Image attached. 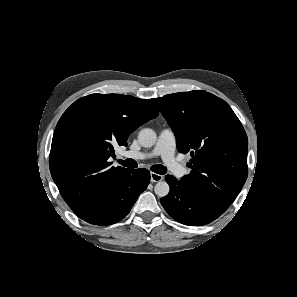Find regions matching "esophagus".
<instances>
[{"instance_id":"obj_1","label":"esophagus","mask_w":297,"mask_h":297,"mask_svg":"<svg viewBox=\"0 0 297 297\" xmlns=\"http://www.w3.org/2000/svg\"><path fill=\"white\" fill-rule=\"evenodd\" d=\"M150 177H151L152 182H160L164 179V177L162 175L154 173V172H151Z\"/></svg>"}]
</instances>
